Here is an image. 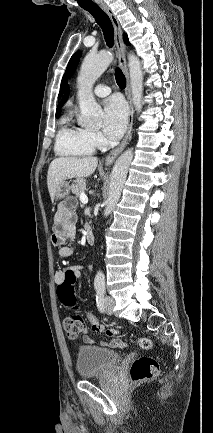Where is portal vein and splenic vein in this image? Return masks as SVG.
<instances>
[{"mask_svg":"<svg viewBox=\"0 0 213 433\" xmlns=\"http://www.w3.org/2000/svg\"><path fill=\"white\" fill-rule=\"evenodd\" d=\"M80 201H81L83 204H87V203H88V197H87V195H86L84 192H82V193L80 194Z\"/></svg>","mask_w":213,"mask_h":433,"instance_id":"portal-vein-and-splenic-vein-1","label":"portal vein and splenic vein"}]
</instances>
